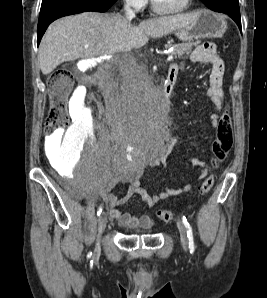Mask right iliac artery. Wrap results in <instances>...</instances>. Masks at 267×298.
Listing matches in <instances>:
<instances>
[{"mask_svg": "<svg viewBox=\"0 0 267 298\" xmlns=\"http://www.w3.org/2000/svg\"><path fill=\"white\" fill-rule=\"evenodd\" d=\"M101 212H102V206H100V207L98 208L97 215H100ZM87 257H88V258H91V257H92V252H89ZM92 262H93V261L91 260V263H92Z\"/></svg>", "mask_w": 267, "mask_h": 298, "instance_id": "82829eb1", "label": "right iliac artery"}]
</instances>
